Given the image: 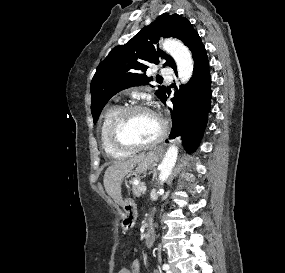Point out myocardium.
I'll return each instance as SVG.
<instances>
[{
	"label": "myocardium",
	"instance_id": "obj_1",
	"mask_svg": "<svg viewBox=\"0 0 285 273\" xmlns=\"http://www.w3.org/2000/svg\"><path fill=\"white\" fill-rule=\"evenodd\" d=\"M139 111H145V112L151 113L159 122L160 131H159L158 136L152 141H149L143 144H130L128 142H125L121 138V128L125 122V119L130 114L139 112ZM167 132H168L167 122L159 113L150 109L149 107L139 105V104H132V105H128V106L121 108L119 112L116 114V116L114 117V119L112 120L110 128H109V139L112 145L116 147L117 149L124 151V152H135V151L151 148L159 144L166 137Z\"/></svg>",
	"mask_w": 285,
	"mask_h": 273
}]
</instances>
